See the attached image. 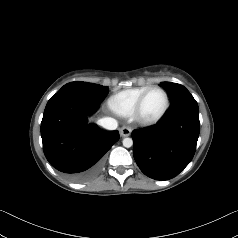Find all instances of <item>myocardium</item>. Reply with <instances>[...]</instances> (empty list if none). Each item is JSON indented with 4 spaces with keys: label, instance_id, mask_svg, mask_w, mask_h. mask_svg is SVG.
I'll list each match as a JSON object with an SVG mask.
<instances>
[{
    "label": "myocardium",
    "instance_id": "obj_1",
    "mask_svg": "<svg viewBox=\"0 0 238 238\" xmlns=\"http://www.w3.org/2000/svg\"><path fill=\"white\" fill-rule=\"evenodd\" d=\"M155 89H158V90H161L163 93H164V96H165V106L162 110V112L154 117V118H144L142 116V107H143V104H144V101L146 99V97L148 96V94L155 90ZM169 106H170V98H169V94L168 92L166 91L165 88H163L162 86H159V85H155V86H150L138 99V101L136 102L135 104V107L133 109V112H132V118L139 124L141 125H144V126H150V125H154L156 123H158L160 120L163 119V117L166 115L168 109H169Z\"/></svg>",
    "mask_w": 238,
    "mask_h": 238
}]
</instances>
